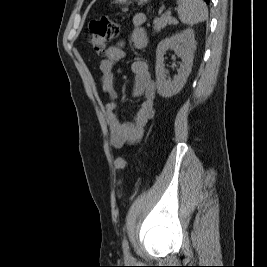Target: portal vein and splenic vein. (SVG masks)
<instances>
[{
    "instance_id": "1",
    "label": "portal vein and splenic vein",
    "mask_w": 267,
    "mask_h": 267,
    "mask_svg": "<svg viewBox=\"0 0 267 267\" xmlns=\"http://www.w3.org/2000/svg\"><path fill=\"white\" fill-rule=\"evenodd\" d=\"M166 15L170 16L171 15V11L170 10L166 11Z\"/></svg>"
}]
</instances>
